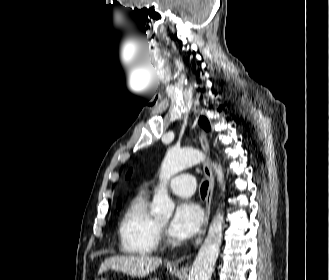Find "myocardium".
Wrapping results in <instances>:
<instances>
[{"label": "myocardium", "mask_w": 329, "mask_h": 280, "mask_svg": "<svg viewBox=\"0 0 329 280\" xmlns=\"http://www.w3.org/2000/svg\"><path fill=\"white\" fill-rule=\"evenodd\" d=\"M159 228H163V225L162 224H158Z\"/></svg>", "instance_id": "1"}]
</instances>
